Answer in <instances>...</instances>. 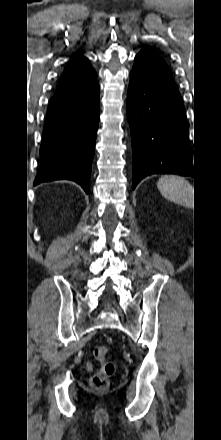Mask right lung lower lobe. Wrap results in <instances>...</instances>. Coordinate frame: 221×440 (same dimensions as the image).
Masks as SVG:
<instances>
[{"mask_svg":"<svg viewBox=\"0 0 221 440\" xmlns=\"http://www.w3.org/2000/svg\"><path fill=\"white\" fill-rule=\"evenodd\" d=\"M99 124V86L96 79L57 88L52 97L40 147L41 164L34 185L72 180L89 193L92 160Z\"/></svg>","mask_w":221,"mask_h":440,"instance_id":"right-lung-lower-lobe-1","label":"right lung lower lobe"}]
</instances>
